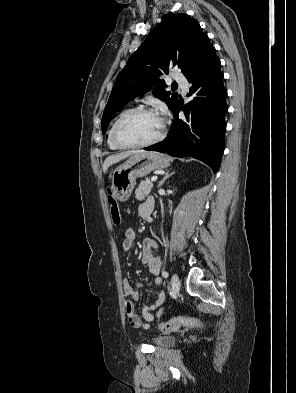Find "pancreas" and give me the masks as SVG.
<instances>
[{"instance_id":"pancreas-1","label":"pancreas","mask_w":296,"mask_h":393,"mask_svg":"<svg viewBox=\"0 0 296 393\" xmlns=\"http://www.w3.org/2000/svg\"><path fill=\"white\" fill-rule=\"evenodd\" d=\"M152 187H153V183L150 182L149 179L142 181L135 191L136 199L140 200V201L144 200L145 197H147L149 195V193L151 192Z\"/></svg>"}]
</instances>
